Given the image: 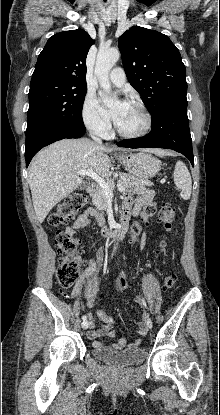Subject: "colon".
<instances>
[{
  "label": "colon",
  "mask_w": 220,
  "mask_h": 415,
  "mask_svg": "<svg viewBox=\"0 0 220 415\" xmlns=\"http://www.w3.org/2000/svg\"><path fill=\"white\" fill-rule=\"evenodd\" d=\"M86 203L87 195L85 193H74L61 203L55 211L51 212L47 218L49 226L55 229V244L59 254V266L56 276L59 285L64 289L71 287L80 274L82 266V260L79 255L81 242L68 231V226ZM143 213L145 216L151 217L155 213V207L147 205ZM158 219L166 230L171 229L176 219L174 207L168 203L164 204L158 213ZM176 280V275H166L163 278L164 289H171L175 285Z\"/></svg>",
  "instance_id": "obj_1"
}]
</instances>
